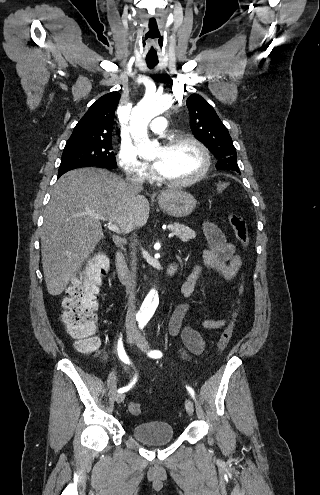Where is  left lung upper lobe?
Masks as SVG:
<instances>
[{"instance_id":"left-lung-upper-lobe-1","label":"left lung upper lobe","mask_w":320,"mask_h":495,"mask_svg":"<svg viewBox=\"0 0 320 495\" xmlns=\"http://www.w3.org/2000/svg\"><path fill=\"white\" fill-rule=\"evenodd\" d=\"M186 104L191 119L190 128L195 138L218 159L217 169L240 173L232 139L213 107L198 94L190 95Z\"/></svg>"}]
</instances>
